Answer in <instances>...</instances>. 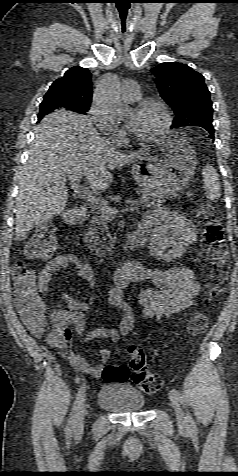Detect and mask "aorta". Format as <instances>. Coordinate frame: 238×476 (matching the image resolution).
Masks as SVG:
<instances>
[{"instance_id": "obj_1", "label": "aorta", "mask_w": 238, "mask_h": 476, "mask_svg": "<svg viewBox=\"0 0 238 476\" xmlns=\"http://www.w3.org/2000/svg\"><path fill=\"white\" fill-rule=\"evenodd\" d=\"M96 103L99 109L112 120H118L130 112L129 107L121 101L119 84L115 75H108L101 81L96 91Z\"/></svg>"}]
</instances>
